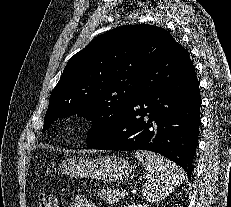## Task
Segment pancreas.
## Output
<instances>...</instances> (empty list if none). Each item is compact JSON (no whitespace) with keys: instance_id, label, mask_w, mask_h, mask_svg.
I'll use <instances>...</instances> for the list:
<instances>
[{"instance_id":"1","label":"pancreas","mask_w":231,"mask_h":207,"mask_svg":"<svg viewBox=\"0 0 231 207\" xmlns=\"http://www.w3.org/2000/svg\"><path fill=\"white\" fill-rule=\"evenodd\" d=\"M101 200L106 204L113 205L121 199V192L110 188H102L97 192Z\"/></svg>"}]
</instances>
